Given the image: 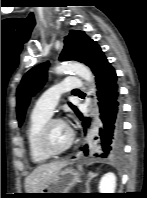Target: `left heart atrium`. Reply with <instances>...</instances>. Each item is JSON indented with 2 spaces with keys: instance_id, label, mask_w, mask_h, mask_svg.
Instances as JSON below:
<instances>
[{
  "instance_id": "39dd6f15",
  "label": "left heart atrium",
  "mask_w": 147,
  "mask_h": 198,
  "mask_svg": "<svg viewBox=\"0 0 147 198\" xmlns=\"http://www.w3.org/2000/svg\"><path fill=\"white\" fill-rule=\"evenodd\" d=\"M64 123V122H63ZM65 124V126L69 129V126H68V124L67 123H64Z\"/></svg>"
}]
</instances>
